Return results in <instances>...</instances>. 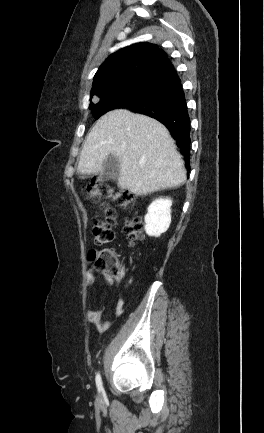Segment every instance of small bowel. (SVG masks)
Instances as JSON below:
<instances>
[{"mask_svg":"<svg viewBox=\"0 0 264 433\" xmlns=\"http://www.w3.org/2000/svg\"><path fill=\"white\" fill-rule=\"evenodd\" d=\"M124 277V272L121 271L116 279V286L119 287L122 279ZM87 286H93L95 284V277L91 272L86 274ZM124 300L120 294L117 296V303L115 308V314L117 316L121 315L124 311ZM105 309L104 307L91 308L88 310L87 318L88 321L93 324L99 333H104L109 330L110 322L104 318Z\"/></svg>","mask_w":264,"mask_h":433,"instance_id":"1","label":"small bowel"}]
</instances>
